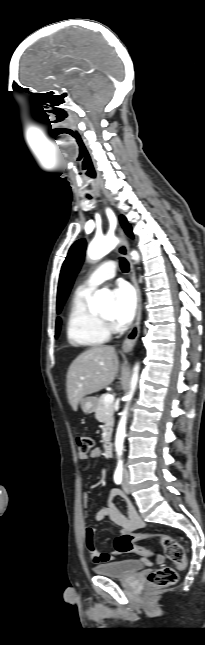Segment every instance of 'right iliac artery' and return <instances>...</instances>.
<instances>
[{"label": "right iliac artery", "instance_id": "1", "mask_svg": "<svg viewBox=\"0 0 205 645\" xmlns=\"http://www.w3.org/2000/svg\"><path fill=\"white\" fill-rule=\"evenodd\" d=\"M114 481L116 484H121L122 482V467L119 466L117 467L115 474H114Z\"/></svg>", "mask_w": 205, "mask_h": 645}]
</instances>
